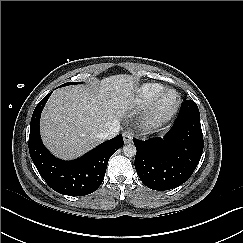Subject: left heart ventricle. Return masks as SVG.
<instances>
[{
    "mask_svg": "<svg viewBox=\"0 0 243 243\" xmlns=\"http://www.w3.org/2000/svg\"><path fill=\"white\" fill-rule=\"evenodd\" d=\"M173 100H174V96H173V95H169V96L167 97V102H168V103H171Z\"/></svg>",
    "mask_w": 243,
    "mask_h": 243,
    "instance_id": "left-heart-ventricle-1",
    "label": "left heart ventricle"
}]
</instances>
